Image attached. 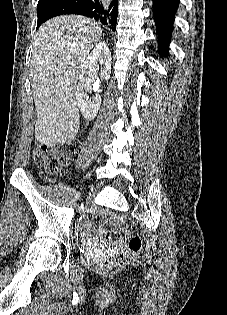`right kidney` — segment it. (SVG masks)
I'll list each match as a JSON object with an SVG mask.
<instances>
[{"mask_svg": "<svg viewBox=\"0 0 227 315\" xmlns=\"http://www.w3.org/2000/svg\"><path fill=\"white\" fill-rule=\"evenodd\" d=\"M101 65V67H100ZM99 71L100 80L107 81L111 73V53L107 44L99 42L81 67L79 75V84L76 91L77 105L86 120H92L96 117L101 105V96L96 93L90 97L94 76ZM98 81V86L100 85Z\"/></svg>", "mask_w": 227, "mask_h": 315, "instance_id": "obj_1", "label": "right kidney"}]
</instances>
